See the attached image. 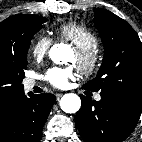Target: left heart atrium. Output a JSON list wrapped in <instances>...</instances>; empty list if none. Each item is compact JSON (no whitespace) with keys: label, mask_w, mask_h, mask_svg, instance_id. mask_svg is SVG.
<instances>
[{"label":"left heart atrium","mask_w":142,"mask_h":142,"mask_svg":"<svg viewBox=\"0 0 142 142\" xmlns=\"http://www.w3.org/2000/svg\"><path fill=\"white\" fill-rule=\"evenodd\" d=\"M45 78L53 87L65 89L75 78V73L73 67H52L47 71Z\"/></svg>","instance_id":"39dd6f15"}]
</instances>
